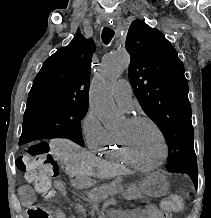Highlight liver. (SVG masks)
<instances>
[{
    "instance_id": "6515ba94",
    "label": "liver",
    "mask_w": 211,
    "mask_h": 218,
    "mask_svg": "<svg viewBox=\"0 0 211 218\" xmlns=\"http://www.w3.org/2000/svg\"><path fill=\"white\" fill-rule=\"evenodd\" d=\"M50 152L52 156L60 158L64 162L70 178L72 176H92L94 168L98 170V176H121L122 168L117 164H107L100 158H96L91 152H84L70 140H51Z\"/></svg>"
}]
</instances>
